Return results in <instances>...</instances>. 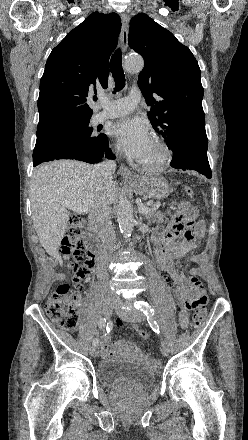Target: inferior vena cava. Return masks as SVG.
<instances>
[{
  "label": "inferior vena cava",
  "instance_id": "obj_1",
  "mask_svg": "<svg viewBox=\"0 0 248 440\" xmlns=\"http://www.w3.org/2000/svg\"><path fill=\"white\" fill-rule=\"evenodd\" d=\"M116 169V163L106 160L94 166L93 173L99 179L111 180ZM89 223L98 234L102 242L100 252L101 275L107 276V271L103 267L109 260L116 242L114 227L111 222V207L108 201L102 200L90 211L88 216Z\"/></svg>",
  "mask_w": 248,
  "mask_h": 440
}]
</instances>
